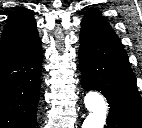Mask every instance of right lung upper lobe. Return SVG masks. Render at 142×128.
<instances>
[{
  "label": "right lung upper lobe",
  "instance_id": "obj_1",
  "mask_svg": "<svg viewBox=\"0 0 142 128\" xmlns=\"http://www.w3.org/2000/svg\"><path fill=\"white\" fill-rule=\"evenodd\" d=\"M39 41L33 15L24 7L17 8L2 33L0 64L24 54Z\"/></svg>",
  "mask_w": 142,
  "mask_h": 128
}]
</instances>
